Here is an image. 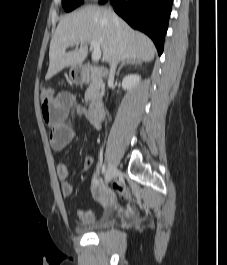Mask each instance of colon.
Returning a JSON list of instances; mask_svg holds the SVG:
<instances>
[{"instance_id": "obj_1", "label": "colon", "mask_w": 227, "mask_h": 265, "mask_svg": "<svg viewBox=\"0 0 227 265\" xmlns=\"http://www.w3.org/2000/svg\"><path fill=\"white\" fill-rule=\"evenodd\" d=\"M39 96L41 102H51L54 99L53 89L48 85H41L39 88ZM114 187L123 199L127 201L132 200V195L125 185L120 182H116Z\"/></svg>"}]
</instances>
